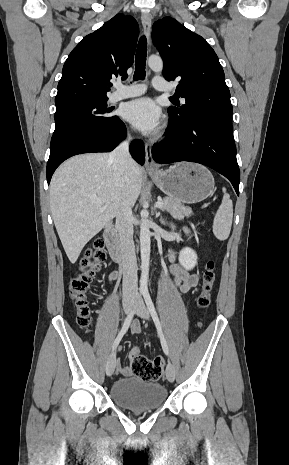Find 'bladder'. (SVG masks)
<instances>
[{"mask_svg":"<svg viewBox=\"0 0 289 465\" xmlns=\"http://www.w3.org/2000/svg\"><path fill=\"white\" fill-rule=\"evenodd\" d=\"M111 399L119 406L132 410H152L163 405L166 387L158 382L136 377L120 378L110 388Z\"/></svg>","mask_w":289,"mask_h":465,"instance_id":"1","label":"bladder"}]
</instances>
